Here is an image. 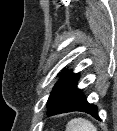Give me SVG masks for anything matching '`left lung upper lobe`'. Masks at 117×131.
<instances>
[{
  "label": "left lung upper lobe",
  "instance_id": "5c2ea615",
  "mask_svg": "<svg viewBox=\"0 0 117 131\" xmlns=\"http://www.w3.org/2000/svg\"><path fill=\"white\" fill-rule=\"evenodd\" d=\"M78 73L73 74L71 71L60 77L55 84V89L52 91L48 101V115L61 114L74 101L76 93L79 90L76 88Z\"/></svg>",
  "mask_w": 117,
  "mask_h": 131
}]
</instances>
